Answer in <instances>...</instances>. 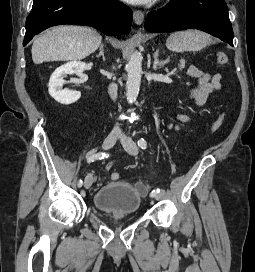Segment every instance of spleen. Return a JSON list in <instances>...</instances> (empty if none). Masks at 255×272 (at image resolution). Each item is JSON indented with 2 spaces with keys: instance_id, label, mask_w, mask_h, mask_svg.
Returning <instances> with one entry per match:
<instances>
[{
  "instance_id": "1",
  "label": "spleen",
  "mask_w": 255,
  "mask_h": 272,
  "mask_svg": "<svg viewBox=\"0 0 255 272\" xmlns=\"http://www.w3.org/2000/svg\"><path fill=\"white\" fill-rule=\"evenodd\" d=\"M210 43V36L202 31L186 30L172 33L167 47L172 51H199Z\"/></svg>"
}]
</instances>
